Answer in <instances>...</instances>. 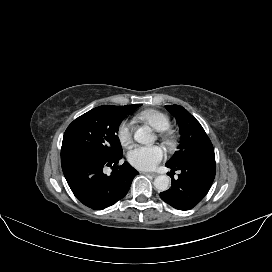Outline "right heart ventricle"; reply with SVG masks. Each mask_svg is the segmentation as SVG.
Returning <instances> with one entry per match:
<instances>
[{
    "instance_id": "right-heart-ventricle-1",
    "label": "right heart ventricle",
    "mask_w": 272,
    "mask_h": 272,
    "mask_svg": "<svg viewBox=\"0 0 272 272\" xmlns=\"http://www.w3.org/2000/svg\"><path fill=\"white\" fill-rule=\"evenodd\" d=\"M137 118L146 122L159 132H163L170 127L169 116L156 109L144 110L137 115Z\"/></svg>"
}]
</instances>
